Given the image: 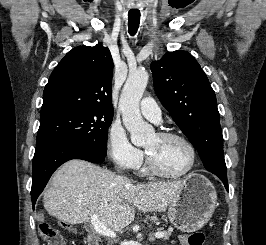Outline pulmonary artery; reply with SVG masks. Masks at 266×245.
<instances>
[{
	"label": "pulmonary artery",
	"mask_w": 266,
	"mask_h": 245,
	"mask_svg": "<svg viewBox=\"0 0 266 245\" xmlns=\"http://www.w3.org/2000/svg\"><path fill=\"white\" fill-rule=\"evenodd\" d=\"M140 110L151 121L159 122L161 120V110L156 103L154 104L152 96H145V99L140 101Z\"/></svg>",
	"instance_id": "obj_1"
}]
</instances>
